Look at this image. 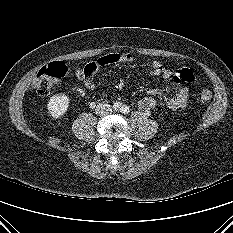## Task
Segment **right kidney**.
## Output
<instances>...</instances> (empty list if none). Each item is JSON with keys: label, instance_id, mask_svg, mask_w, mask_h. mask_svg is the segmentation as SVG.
<instances>
[{"label": "right kidney", "instance_id": "ca27d5eb", "mask_svg": "<svg viewBox=\"0 0 233 233\" xmlns=\"http://www.w3.org/2000/svg\"><path fill=\"white\" fill-rule=\"evenodd\" d=\"M69 102V97L65 94L59 93L53 95L47 104L50 115L54 119L62 117L68 110Z\"/></svg>", "mask_w": 233, "mask_h": 233}]
</instances>
